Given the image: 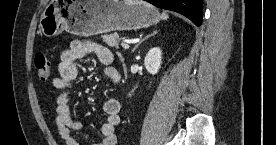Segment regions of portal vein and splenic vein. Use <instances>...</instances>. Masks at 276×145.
<instances>
[{"mask_svg": "<svg viewBox=\"0 0 276 145\" xmlns=\"http://www.w3.org/2000/svg\"><path fill=\"white\" fill-rule=\"evenodd\" d=\"M121 46L124 48V49H129V45L127 43H122Z\"/></svg>", "mask_w": 276, "mask_h": 145, "instance_id": "1", "label": "portal vein and splenic vein"}]
</instances>
